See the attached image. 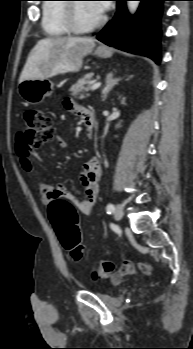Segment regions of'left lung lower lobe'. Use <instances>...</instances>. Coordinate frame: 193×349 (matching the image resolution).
Wrapping results in <instances>:
<instances>
[{
  "instance_id": "0a47b994",
  "label": "left lung lower lobe",
  "mask_w": 193,
  "mask_h": 349,
  "mask_svg": "<svg viewBox=\"0 0 193 349\" xmlns=\"http://www.w3.org/2000/svg\"><path fill=\"white\" fill-rule=\"evenodd\" d=\"M117 1V12L97 39L120 50L138 53L160 62V17L162 3L167 0L141 1L137 13L130 17L125 2Z\"/></svg>"
}]
</instances>
